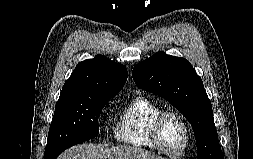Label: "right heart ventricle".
<instances>
[{"label": "right heart ventricle", "mask_w": 253, "mask_h": 159, "mask_svg": "<svg viewBox=\"0 0 253 159\" xmlns=\"http://www.w3.org/2000/svg\"><path fill=\"white\" fill-rule=\"evenodd\" d=\"M161 110V106L149 98H134L119 114L114 126L116 140L135 149L156 150L149 136V128L151 121Z\"/></svg>", "instance_id": "right-heart-ventricle-1"}]
</instances>
